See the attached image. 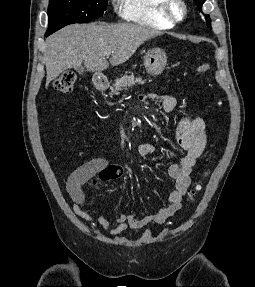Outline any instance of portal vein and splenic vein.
Listing matches in <instances>:
<instances>
[{"instance_id": "18ae733b", "label": "portal vein and splenic vein", "mask_w": 255, "mask_h": 287, "mask_svg": "<svg viewBox=\"0 0 255 287\" xmlns=\"http://www.w3.org/2000/svg\"><path fill=\"white\" fill-rule=\"evenodd\" d=\"M110 54H113V52H110ZM110 54H107V56H110Z\"/></svg>"}]
</instances>
